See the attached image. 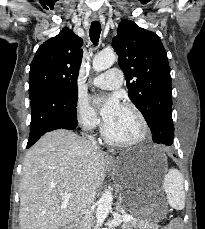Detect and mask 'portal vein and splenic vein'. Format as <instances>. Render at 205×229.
<instances>
[{"label": "portal vein and splenic vein", "instance_id": "1", "mask_svg": "<svg viewBox=\"0 0 205 229\" xmlns=\"http://www.w3.org/2000/svg\"><path fill=\"white\" fill-rule=\"evenodd\" d=\"M60 196L62 197V199L64 200V202H68V200L73 197V195L71 193H60ZM124 218H127L129 220H132L133 219V217L132 216H129V215H125Z\"/></svg>", "mask_w": 205, "mask_h": 229}]
</instances>
